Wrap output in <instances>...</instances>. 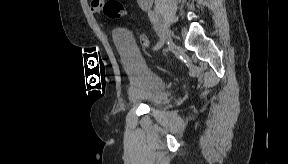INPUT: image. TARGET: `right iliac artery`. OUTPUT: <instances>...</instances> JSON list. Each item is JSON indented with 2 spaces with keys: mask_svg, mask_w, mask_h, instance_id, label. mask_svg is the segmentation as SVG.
<instances>
[{
  "mask_svg": "<svg viewBox=\"0 0 288 164\" xmlns=\"http://www.w3.org/2000/svg\"><path fill=\"white\" fill-rule=\"evenodd\" d=\"M150 20H151V22L153 23L154 28H155V30L157 31L158 36H159V41H158V43L153 47V50L155 51V50H158L159 48H161L162 45H163L162 32H161V28H160V24H159V22H158V19H157V17L154 15V13H151V14H150Z\"/></svg>",
  "mask_w": 288,
  "mask_h": 164,
  "instance_id": "82829eb1",
  "label": "right iliac artery"
}]
</instances>
